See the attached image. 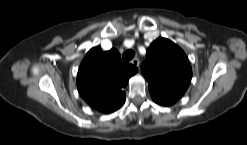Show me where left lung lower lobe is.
I'll use <instances>...</instances> for the list:
<instances>
[{
  "label": "left lung lower lobe",
  "instance_id": "left-lung-lower-lobe-1",
  "mask_svg": "<svg viewBox=\"0 0 247 145\" xmlns=\"http://www.w3.org/2000/svg\"><path fill=\"white\" fill-rule=\"evenodd\" d=\"M149 91L152 99L160 105L169 106L178 101V98L173 97L171 95H167L162 92H158L154 90H149Z\"/></svg>",
  "mask_w": 247,
  "mask_h": 145
}]
</instances>
